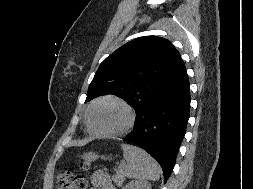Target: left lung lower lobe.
<instances>
[{
    "label": "left lung lower lobe",
    "instance_id": "0a47b994",
    "mask_svg": "<svg viewBox=\"0 0 253 189\" xmlns=\"http://www.w3.org/2000/svg\"><path fill=\"white\" fill-rule=\"evenodd\" d=\"M190 116L186 68L174 81L137 113L133 131L123 140L146 150L169 178Z\"/></svg>",
    "mask_w": 253,
    "mask_h": 189
}]
</instances>
